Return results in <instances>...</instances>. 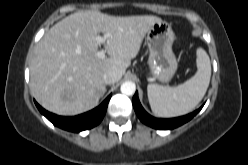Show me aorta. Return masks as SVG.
Instances as JSON below:
<instances>
[{
    "label": "aorta",
    "instance_id": "aorta-1",
    "mask_svg": "<svg viewBox=\"0 0 248 165\" xmlns=\"http://www.w3.org/2000/svg\"><path fill=\"white\" fill-rule=\"evenodd\" d=\"M120 90L124 95H133L136 91V85L131 81H126L121 85Z\"/></svg>",
    "mask_w": 248,
    "mask_h": 165
}]
</instances>
